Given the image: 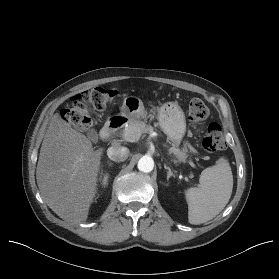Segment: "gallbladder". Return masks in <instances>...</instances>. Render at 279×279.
I'll return each instance as SVG.
<instances>
[{
    "instance_id": "gallbladder-1",
    "label": "gallbladder",
    "mask_w": 279,
    "mask_h": 279,
    "mask_svg": "<svg viewBox=\"0 0 279 279\" xmlns=\"http://www.w3.org/2000/svg\"><path fill=\"white\" fill-rule=\"evenodd\" d=\"M88 137L91 138V139H95L97 137L96 131L95 130L89 131Z\"/></svg>"
}]
</instances>
